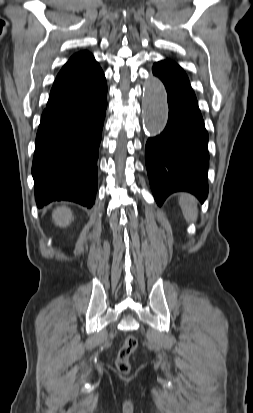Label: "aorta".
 Returning a JSON list of instances; mask_svg holds the SVG:
<instances>
[{"instance_id": "aorta-1", "label": "aorta", "mask_w": 253, "mask_h": 413, "mask_svg": "<svg viewBox=\"0 0 253 413\" xmlns=\"http://www.w3.org/2000/svg\"><path fill=\"white\" fill-rule=\"evenodd\" d=\"M142 99L143 124L148 136H157L166 126L168 119L167 93L163 83L151 78L144 84Z\"/></svg>"}]
</instances>
